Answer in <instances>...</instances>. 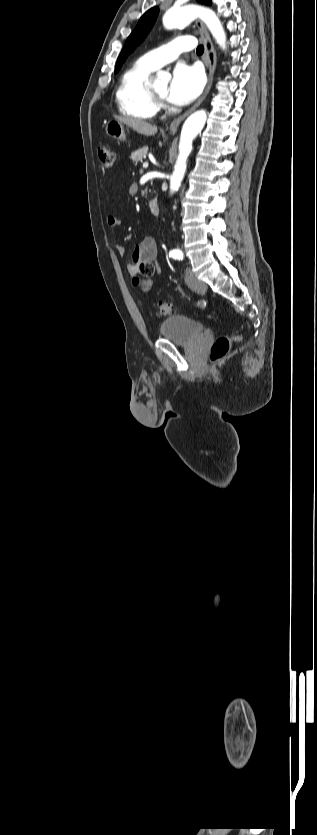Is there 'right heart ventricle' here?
<instances>
[{
    "instance_id": "obj_1",
    "label": "right heart ventricle",
    "mask_w": 317,
    "mask_h": 835,
    "mask_svg": "<svg viewBox=\"0 0 317 835\" xmlns=\"http://www.w3.org/2000/svg\"><path fill=\"white\" fill-rule=\"evenodd\" d=\"M154 70L138 59L124 71L116 90L117 105L123 115L146 120L157 114L159 104L151 96L148 84Z\"/></svg>"
}]
</instances>
